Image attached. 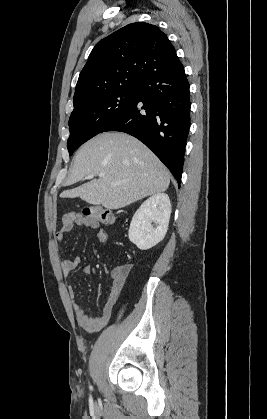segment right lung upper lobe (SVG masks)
Instances as JSON below:
<instances>
[{"label":"right lung upper lobe","mask_w":267,"mask_h":419,"mask_svg":"<svg viewBox=\"0 0 267 419\" xmlns=\"http://www.w3.org/2000/svg\"><path fill=\"white\" fill-rule=\"evenodd\" d=\"M178 60L168 37L157 26L129 24L93 48L79 75L74 104L101 92L139 87L150 75Z\"/></svg>","instance_id":"cb5924a9"}]
</instances>
